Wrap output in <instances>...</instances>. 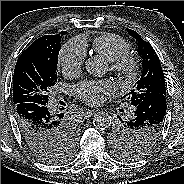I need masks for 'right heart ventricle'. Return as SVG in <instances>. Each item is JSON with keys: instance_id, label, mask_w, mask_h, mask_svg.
I'll list each match as a JSON object with an SVG mask.
<instances>
[{"instance_id": "1", "label": "right heart ventricle", "mask_w": 184, "mask_h": 184, "mask_svg": "<svg viewBox=\"0 0 184 184\" xmlns=\"http://www.w3.org/2000/svg\"><path fill=\"white\" fill-rule=\"evenodd\" d=\"M92 48L97 55L110 63L128 53L130 45L118 35L102 34L93 40Z\"/></svg>"}]
</instances>
